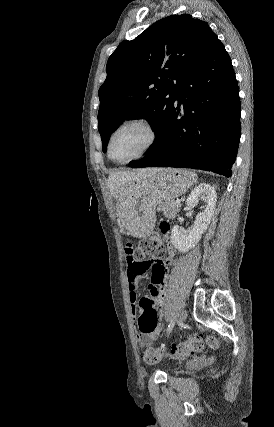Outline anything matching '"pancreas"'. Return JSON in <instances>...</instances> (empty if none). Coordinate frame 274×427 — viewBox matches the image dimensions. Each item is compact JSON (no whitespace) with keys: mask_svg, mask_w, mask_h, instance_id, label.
<instances>
[{"mask_svg":"<svg viewBox=\"0 0 274 427\" xmlns=\"http://www.w3.org/2000/svg\"><path fill=\"white\" fill-rule=\"evenodd\" d=\"M181 204H176L174 200H168V202H160L158 210H162L165 217H175L179 212Z\"/></svg>","mask_w":274,"mask_h":427,"instance_id":"pancreas-1","label":"pancreas"}]
</instances>
